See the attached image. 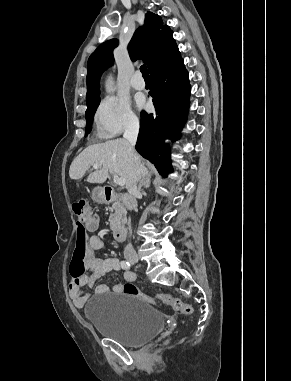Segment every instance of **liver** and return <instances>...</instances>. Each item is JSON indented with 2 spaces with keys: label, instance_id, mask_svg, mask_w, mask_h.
Returning <instances> with one entry per match:
<instances>
[{
  "label": "liver",
  "instance_id": "6515ba94",
  "mask_svg": "<svg viewBox=\"0 0 291 381\" xmlns=\"http://www.w3.org/2000/svg\"><path fill=\"white\" fill-rule=\"evenodd\" d=\"M135 156L137 162L133 159L131 146L126 139L90 145L73 160L69 176L74 180L81 179L92 165L99 164V168L87 177V182L101 184L109 174H114L123 178L125 187L129 189L148 173L137 153Z\"/></svg>",
  "mask_w": 291,
  "mask_h": 381
}]
</instances>
